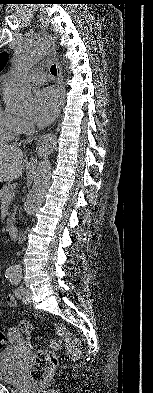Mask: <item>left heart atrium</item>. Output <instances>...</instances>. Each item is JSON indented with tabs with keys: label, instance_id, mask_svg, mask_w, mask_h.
Segmentation results:
<instances>
[{
	"label": "left heart atrium",
	"instance_id": "39dd6f15",
	"mask_svg": "<svg viewBox=\"0 0 153 393\" xmlns=\"http://www.w3.org/2000/svg\"><path fill=\"white\" fill-rule=\"evenodd\" d=\"M61 103L59 92L53 87L39 90L34 99L32 118L38 126L48 125L57 115Z\"/></svg>",
	"mask_w": 153,
	"mask_h": 393
}]
</instances>
